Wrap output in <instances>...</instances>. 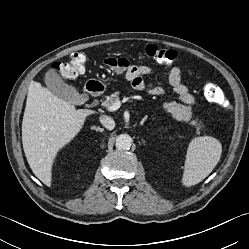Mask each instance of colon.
Returning a JSON list of instances; mask_svg holds the SVG:
<instances>
[{
	"label": "colon",
	"instance_id": "5ec220e1",
	"mask_svg": "<svg viewBox=\"0 0 249 249\" xmlns=\"http://www.w3.org/2000/svg\"><path fill=\"white\" fill-rule=\"evenodd\" d=\"M145 54L164 65H171L177 58V53L171 49L160 48L156 45H148L145 48ZM86 56L83 52H74L64 62H57L52 65V68L64 80L76 79L85 71ZM105 64L116 70H124L127 63L124 59L110 58L105 60ZM203 91L206 99L214 104L221 105L224 102V96L221 89L212 81H206L203 86Z\"/></svg>",
	"mask_w": 249,
	"mask_h": 249
}]
</instances>
